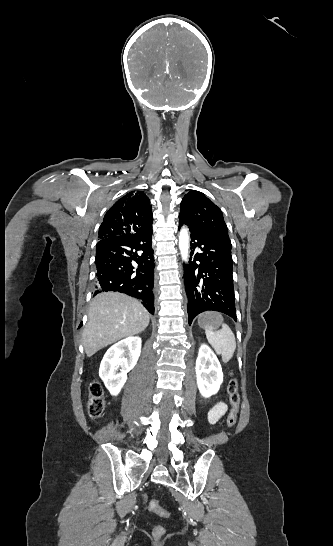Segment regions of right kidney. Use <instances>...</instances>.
I'll return each instance as SVG.
<instances>
[{
  "label": "right kidney",
  "mask_w": 333,
  "mask_h": 546,
  "mask_svg": "<svg viewBox=\"0 0 333 546\" xmlns=\"http://www.w3.org/2000/svg\"><path fill=\"white\" fill-rule=\"evenodd\" d=\"M141 353V338L128 337L108 349L99 369V375L111 395L116 396L134 368Z\"/></svg>",
  "instance_id": "ca27d5eb"
}]
</instances>
